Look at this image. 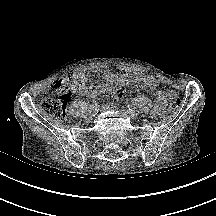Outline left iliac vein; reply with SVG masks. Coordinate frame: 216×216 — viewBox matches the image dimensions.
I'll return each instance as SVG.
<instances>
[{
    "label": "left iliac vein",
    "instance_id": "obj_1",
    "mask_svg": "<svg viewBox=\"0 0 216 216\" xmlns=\"http://www.w3.org/2000/svg\"><path fill=\"white\" fill-rule=\"evenodd\" d=\"M126 112L132 119H136L138 117V114L134 111H129V110H123Z\"/></svg>",
    "mask_w": 216,
    "mask_h": 216
}]
</instances>
